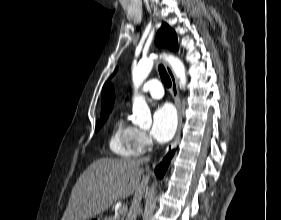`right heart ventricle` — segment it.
Here are the masks:
<instances>
[{
	"label": "right heart ventricle",
	"mask_w": 281,
	"mask_h": 220,
	"mask_svg": "<svg viewBox=\"0 0 281 220\" xmlns=\"http://www.w3.org/2000/svg\"><path fill=\"white\" fill-rule=\"evenodd\" d=\"M138 129L128 124L122 117L115 121L109 139L111 151L122 157H135L142 151L137 141Z\"/></svg>",
	"instance_id": "right-heart-ventricle-1"
}]
</instances>
